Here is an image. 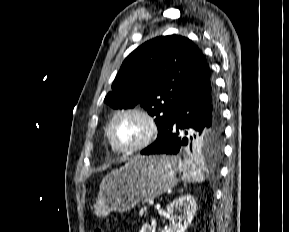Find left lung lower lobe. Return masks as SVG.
<instances>
[{"label": "left lung lower lobe", "instance_id": "left-lung-lower-lobe-1", "mask_svg": "<svg viewBox=\"0 0 289 232\" xmlns=\"http://www.w3.org/2000/svg\"><path fill=\"white\" fill-rule=\"evenodd\" d=\"M220 123L217 93L206 63L181 95L166 132L141 154L187 153L195 137L215 134Z\"/></svg>", "mask_w": 289, "mask_h": 232}]
</instances>
